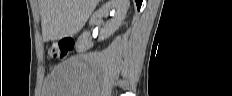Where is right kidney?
Listing matches in <instances>:
<instances>
[{
	"instance_id": "1",
	"label": "right kidney",
	"mask_w": 232,
	"mask_h": 96,
	"mask_svg": "<svg viewBox=\"0 0 232 96\" xmlns=\"http://www.w3.org/2000/svg\"><path fill=\"white\" fill-rule=\"evenodd\" d=\"M129 8V0H109L99 10H97L91 17L89 24L93 25L98 19L108 15L112 19L104 24L103 29L99 34V41L109 38L121 25ZM93 43L90 40V34L84 32L77 40L76 48L79 53H83L90 49Z\"/></svg>"
}]
</instances>
